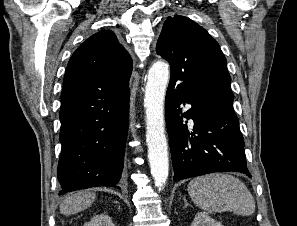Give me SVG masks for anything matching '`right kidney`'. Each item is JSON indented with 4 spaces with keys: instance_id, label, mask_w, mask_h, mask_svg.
I'll return each mask as SVG.
<instances>
[{
    "instance_id": "right-kidney-1",
    "label": "right kidney",
    "mask_w": 297,
    "mask_h": 226,
    "mask_svg": "<svg viewBox=\"0 0 297 226\" xmlns=\"http://www.w3.org/2000/svg\"><path fill=\"white\" fill-rule=\"evenodd\" d=\"M84 226H115L111 217L107 214H98L91 218V220Z\"/></svg>"
}]
</instances>
